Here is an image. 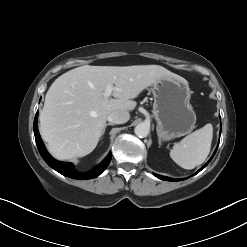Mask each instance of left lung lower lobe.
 <instances>
[{
	"label": "left lung lower lobe",
	"instance_id": "0a47b994",
	"mask_svg": "<svg viewBox=\"0 0 247 247\" xmlns=\"http://www.w3.org/2000/svg\"><path fill=\"white\" fill-rule=\"evenodd\" d=\"M217 149L215 150L213 156L210 158V160L199 170L201 171L204 167H206L208 165V163L211 161V159L214 157L215 153H216ZM198 171V172H199ZM197 172V173H198ZM156 177H158L159 179L161 180H165V181H181V180H185L186 178H183V179H172V178H169V177H166V176H161V175H157L155 174Z\"/></svg>",
	"mask_w": 247,
	"mask_h": 247
}]
</instances>
